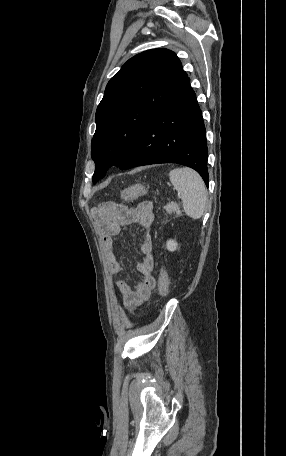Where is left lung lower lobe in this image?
Listing matches in <instances>:
<instances>
[{
  "label": "left lung lower lobe",
  "instance_id": "0a47b994",
  "mask_svg": "<svg viewBox=\"0 0 286 456\" xmlns=\"http://www.w3.org/2000/svg\"><path fill=\"white\" fill-rule=\"evenodd\" d=\"M207 157L202 112L187 76L140 133L120 169L177 163L195 169L208 186Z\"/></svg>",
  "mask_w": 286,
  "mask_h": 456
}]
</instances>
